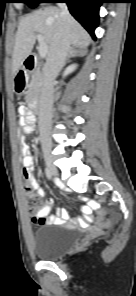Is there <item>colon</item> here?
Returning a JSON list of instances; mask_svg holds the SVG:
<instances>
[{
  "label": "colon",
  "instance_id": "obj_1",
  "mask_svg": "<svg viewBox=\"0 0 136 296\" xmlns=\"http://www.w3.org/2000/svg\"><path fill=\"white\" fill-rule=\"evenodd\" d=\"M23 191L25 194L26 208L32 217V221L38 225H42L44 223V219L37 217V214L41 209L42 202L34 192V188L30 180L26 179L24 182Z\"/></svg>",
  "mask_w": 136,
  "mask_h": 296
}]
</instances>
